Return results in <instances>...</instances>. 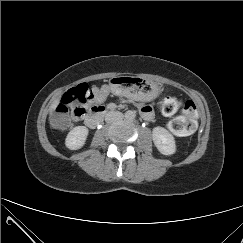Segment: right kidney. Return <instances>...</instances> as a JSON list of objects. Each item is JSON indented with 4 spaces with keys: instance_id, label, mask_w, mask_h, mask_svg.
<instances>
[{
    "instance_id": "ca27d5eb",
    "label": "right kidney",
    "mask_w": 243,
    "mask_h": 243,
    "mask_svg": "<svg viewBox=\"0 0 243 243\" xmlns=\"http://www.w3.org/2000/svg\"><path fill=\"white\" fill-rule=\"evenodd\" d=\"M88 129L85 126H77L73 128L67 135L65 145L70 150L80 149L88 136Z\"/></svg>"
}]
</instances>
